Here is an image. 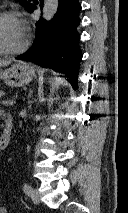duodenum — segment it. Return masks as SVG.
Instances as JSON below:
<instances>
[{"instance_id": "1", "label": "duodenum", "mask_w": 128, "mask_h": 213, "mask_svg": "<svg viewBox=\"0 0 128 213\" xmlns=\"http://www.w3.org/2000/svg\"><path fill=\"white\" fill-rule=\"evenodd\" d=\"M13 121L12 118L7 117L5 121V128L0 135V150L6 149L11 141Z\"/></svg>"}]
</instances>
